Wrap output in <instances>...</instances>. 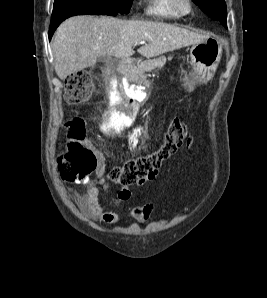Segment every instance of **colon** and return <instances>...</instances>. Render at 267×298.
I'll return each instance as SVG.
<instances>
[{
	"label": "colon",
	"mask_w": 267,
	"mask_h": 298,
	"mask_svg": "<svg viewBox=\"0 0 267 298\" xmlns=\"http://www.w3.org/2000/svg\"><path fill=\"white\" fill-rule=\"evenodd\" d=\"M93 92L89 72L72 73L65 80L64 99L77 105L86 102ZM67 150L57 158V169L62 179L81 181L97 167L98 156L85 142V126L82 119L74 117L65 123ZM191 136L184 120H172L165 131L161 145L153 152L128 160L123 165L112 167L107 179L114 184L136 185L151 178L161 164L179 148L188 147Z\"/></svg>",
	"instance_id": "5ec220e1"
}]
</instances>
